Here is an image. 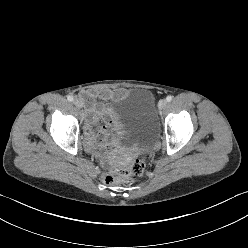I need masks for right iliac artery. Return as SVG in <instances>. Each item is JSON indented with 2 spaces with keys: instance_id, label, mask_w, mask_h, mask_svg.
<instances>
[{
  "instance_id": "82829eb1",
  "label": "right iliac artery",
  "mask_w": 248,
  "mask_h": 248,
  "mask_svg": "<svg viewBox=\"0 0 248 248\" xmlns=\"http://www.w3.org/2000/svg\"><path fill=\"white\" fill-rule=\"evenodd\" d=\"M67 100L71 102V101H73V97L69 95V96H67Z\"/></svg>"
}]
</instances>
